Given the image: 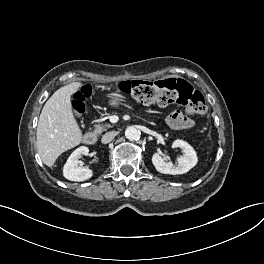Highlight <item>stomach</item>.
<instances>
[{
  "label": "stomach",
  "mask_w": 264,
  "mask_h": 264,
  "mask_svg": "<svg viewBox=\"0 0 264 264\" xmlns=\"http://www.w3.org/2000/svg\"><path fill=\"white\" fill-rule=\"evenodd\" d=\"M109 97V105L112 107H118L124 101V97L118 93H110Z\"/></svg>",
  "instance_id": "stomach-1"
}]
</instances>
